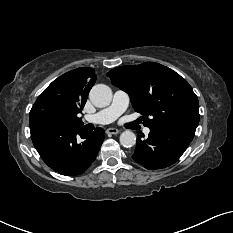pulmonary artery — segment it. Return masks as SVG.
Returning a JSON list of instances; mask_svg holds the SVG:
<instances>
[{
  "instance_id": "obj_1",
  "label": "pulmonary artery",
  "mask_w": 233,
  "mask_h": 233,
  "mask_svg": "<svg viewBox=\"0 0 233 233\" xmlns=\"http://www.w3.org/2000/svg\"><path fill=\"white\" fill-rule=\"evenodd\" d=\"M129 95L118 90L114 93L112 103L105 109L97 112L94 115H87L85 120L90 123L108 124L117 119L128 107ZM150 129L145 128L144 133L149 134Z\"/></svg>"
}]
</instances>
